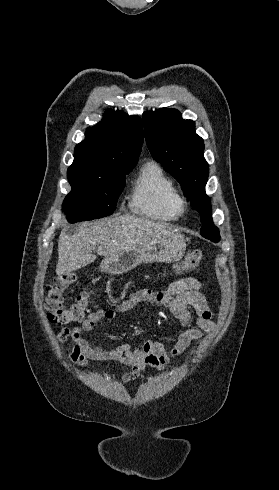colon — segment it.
Masks as SVG:
<instances>
[{"mask_svg":"<svg viewBox=\"0 0 279 490\" xmlns=\"http://www.w3.org/2000/svg\"><path fill=\"white\" fill-rule=\"evenodd\" d=\"M203 257V248H196L189 252L177 265L176 271L178 273L191 271L202 263ZM75 279L74 273L61 274L56 276L48 286L44 306L51 323L68 325L82 322L89 312V294L87 291H82L72 305L65 306L64 292L69 285L75 282Z\"/></svg>","mask_w":279,"mask_h":490,"instance_id":"5ec220e1","label":"colon"}]
</instances>
